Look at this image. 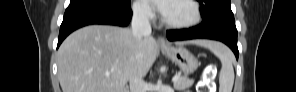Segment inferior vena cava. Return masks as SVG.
Returning a JSON list of instances; mask_svg holds the SVG:
<instances>
[{"instance_id": "1", "label": "inferior vena cava", "mask_w": 296, "mask_h": 92, "mask_svg": "<svg viewBox=\"0 0 296 92\" xmlns=\"http://www.w3.org/2000/svg\"><path fill=\"white\" fill-rule=\"evenodd\" d=\"M150 8L147 5L136 6L132 18V35L139 42L142 37L151 35L149 22ZM130 92H146V85L143 78L133 75L130 80Z\"/></svg>"}]
</instances>
